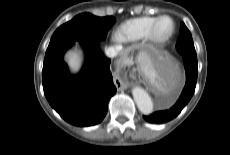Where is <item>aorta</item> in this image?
<instances>
[{
  "label": "aorta",
  "mask_w": 230,
  "mask_h": 155,
  "mask_svg": "<svg viewBox=\"0 0 230 155\" xmlns=\"http://www.w3.org/2000/svg\"><path fill=\"white\" fill-rule=\"evenodd\" d=\"M134 100L141 113L148 115L153 111V102L149 94L141 87H134L132 90Z\"/></svg>",
  "instance_id": "1"
}]
</instances>
